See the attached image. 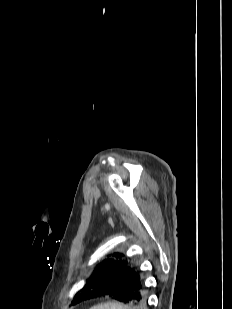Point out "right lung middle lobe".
<instances>
[{
	"instance_id": "1",
	"label": "right lung middle lobe",
	"mask_w": 232,
	"mask_h": 309,
	"mask_svg": "<svg viewBox=\"0 0 232 309\" xmlns=\"http://www.w3.org/2000/svg\"><path fill=\"white\" fill-rule=\"evenodd\" d=\"M126 277H132V275L131 274H121L113 270L95 272L87 280L83 289L75 295L72 304H77V303H80L86 300L88 289L93 288L95 286L113 284L115 281L119 279H124Z\"/></svg>"
}]
</instances>
